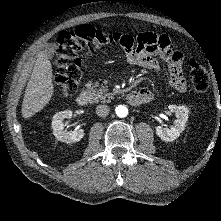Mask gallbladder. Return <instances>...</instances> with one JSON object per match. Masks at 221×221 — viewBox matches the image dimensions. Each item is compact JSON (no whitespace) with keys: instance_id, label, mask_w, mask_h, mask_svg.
<instances>
[{"instance_id":"obj_1","label":"gallbladder","mask_w":221,"mask_h":221,"mask_svg":"<svg viewBox=\"0 0 221 221\" xmlns=\"http://www.w3.org/2000/svg\"><path fill=\"white\" fill-rule=\"evenodd\" d=\"M56 45L53 43H49L44 47V53L47 57L52 58L54 55Z\"/></svg>"}]
</instances>
